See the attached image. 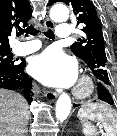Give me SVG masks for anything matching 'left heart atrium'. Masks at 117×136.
Returning <instances> with one entry per match:
<instances>
[{"label": "left heart atrium", "mask_w": 117, "mask_h": 136, "mask_svg": "<svg viewBox=\"0 0 117 136\" xmlns=\"http://www.w3.org/2000/svg\"><path fill=\"white\" fill-rule=\"evenodd\" d=\"M29 70L37 80L52 87L71 86L77 78L76 62L58 48H49L35 56Z\"/></svg>", "instance_id": "39dd6f15"}]
</instances>
